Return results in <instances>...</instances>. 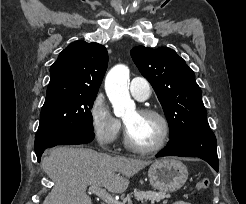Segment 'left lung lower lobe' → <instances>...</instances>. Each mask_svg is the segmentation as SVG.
<instances>
[{
  "label": "left lung lower lobe",
  "instance_id": "0a47b994",
  "mask_svg": "<svg viewBox=\"0 0 246 204\" xmlns=\"http://www.w3.org/2000/svg\"><path fill=\"white\" fill-rule=\"evenodd\" d=\"M162 156L199 157L218 171L216 137L209 126L192 129L170 139L167 147L156 155Z\"/></svg>",
  "mask_w": 246,
  "mask_h": 204
}]
</instances>
